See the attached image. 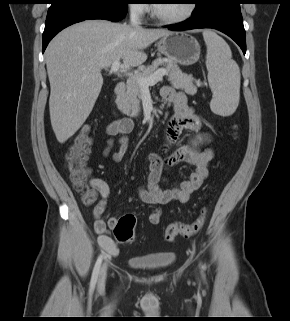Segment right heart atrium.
Returning <instances> with one entry per match:
<instances>
[{
	"label": "right heart atrium",
	"instance_id": "right-heart-atrium-1",
	"mask_svg": "<svg viewBox=\"0 0 290 321\" xmlns=\"http://www.w3.org/2000/svg\"><path fill=\"white\" fill-rule=\"evenodd\" d=\"M130 12L136 17H143L147 12L145 0H132L129 5Z\"/></svg>",
	"mask_w": 290,
	"mask_h": 321
}]
</instances>
